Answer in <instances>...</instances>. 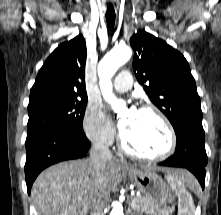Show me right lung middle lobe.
Instances as JSON below:
<instances>
[{
  "label": "right lung middle lobe",
  "instance_id": "1",
  "mask_svg": "<svg viewBox=\"0 0 221 215\" xmlns=\"http://www.w3.org/2000/svg\"><path fill=\"white\" fill-rule=\"evenodd\" d=\"M87 99L51 100L28 105L27 137L51 129L83 131Z\"/></svg>",
  "mask_w": 221,
  "mask_h": 215
}]
</instances>
